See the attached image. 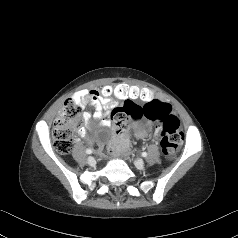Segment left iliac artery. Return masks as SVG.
I'll use <instances>...</instances> for the list:
<instances>
[{
  "mask_svg": "<svg viewBox=\"0 0 238 238\" xmlns=\"http://www.w3.org/2000/svg\"><path fill=\"white\" fill-rule=\"evenodd\" d=\"M142 156H143V157H147V153H146V152H143V153H142Z\"/></svg>",
  "mask_w": 238,
  "mask_h": 238,
  "instance_id": "obj_1",
  "label": "left iliac artery"
}]
</instances>
